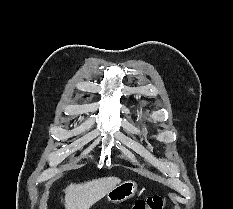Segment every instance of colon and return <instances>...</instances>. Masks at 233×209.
<instances>
[{
    "mask_svg": "<svg viewBox=\"0 0 233 209\" xmlns=\"http://www.w3.org/2000/svg\"><path fill=\"white\" fill-rule=\"evenodd\" d=\"M163 200L159 195H151L146 198L137 200L132 209H162Z\"/></svg>",
    "mask_w": 233,
    "mask_h": 209,
    "instance_id": "5ec220e1",
    "label": "colon"
}]
</instances>
